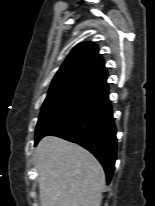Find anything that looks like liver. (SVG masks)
Returning a JSON list of instances; mask_svg holds the SVG:
<instances>
[{"mask_svg":"<svg viewBox=\"0 0 155 206\" xmlns=\"http://www.w3.org/2000/svg\"><path fill=\"white\" fill-rule=\"evenodd\" d=\"M41 206H100L105 173L86 149L44 137L35 150Z\"/></svg>","mask_w":155,"mask_h":206,"instance_id":"1","label":"liver"}]
</instances>
